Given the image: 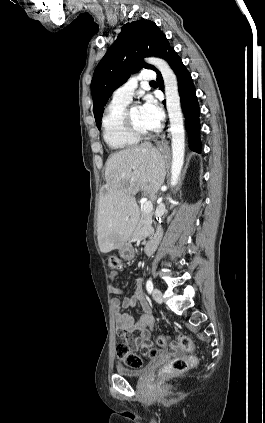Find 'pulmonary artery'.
I'll return each mask as SVG.
<instances>
[{
	"mask_svg": "<svg viewBox=\"0 0 265 423\" xmlns=\"http://www.w3.org/2000/svg\"><path fill=\"white\" fill-rule=\"evenodd\" d=\"M156 73L153 70H147L141 72L139 80L142 83H147L155 80ZM137 87L136 79H130L128 82L117 88L113 93V100L127 102L129 103L132 100L134 91Z\"/></svg>",
	"mask_w": 265,
	"mask_h": 423,
	"instance_id": "1",
	"label": "pulmonary artery"
}]
</instances>
